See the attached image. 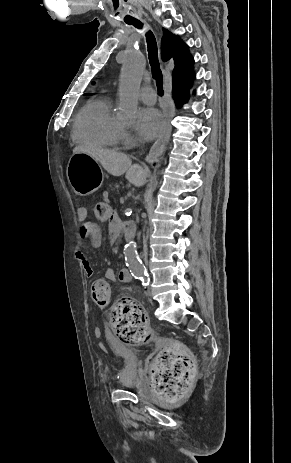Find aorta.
I'll list each match as a JSON object with an SVG mask.
<instances>
[{"label":"aorta","mask_w":291,"mask_h":463,"mask_svg":"<svg viewBox=\"0 0 291 463\" xmlns=\"http://www.w3.org/2000/svg\"><path fill=\"white\" fill-rule=\"evenodd\" d=\"M145 67V58L136 51L129 52L122 65L119 83V105L121 114L126 119H131L136 114L138 92ZM125 262L134 276L145 277L146 269L137 254L135 243L126 246Z\"/></svg>","instance_id":"aorta-1"}]
</instances>
